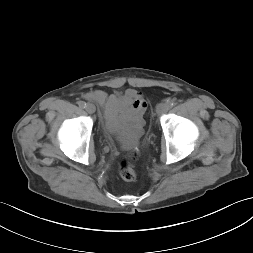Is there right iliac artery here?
<instances>
[{"label":"right iliac artery","instance_id":"obj_1","mask_svg":"<svg viewBox=\"0 0 253 253\" xmlns=\"http://www.w3.org/2000/svg\"><path fill=\"white\" fill-rule=\"evenodd\" d=\"M78 105H79L80 108H85L86 107V103L84 101H80L78 103Z\"/></svg>","mask_w":253,"mask_h":253}]
</instances>
